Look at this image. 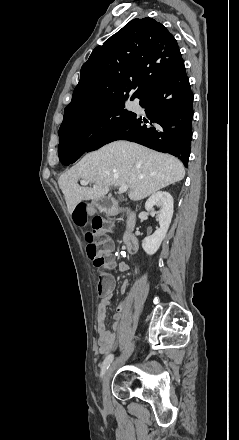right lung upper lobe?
<instances>
[{"mask_svg": "<svg viewBox=\"0 0 239 440\" xmlns=\"http://www.w3.org/2000/svg\"><path fill=\"white\" fill-rule=\"evenodd\" d=\"M181 60L177 41L165 26L148 17L130 21L83 64L63 121L114 98H137Z\"/></svg>", "mask_w": 239, "mask_h": 440, "instance_id": "right-lung-upper-lobe-1", "label": "right lung upper lobe"}]
</instances>
